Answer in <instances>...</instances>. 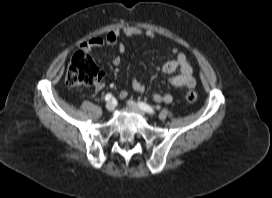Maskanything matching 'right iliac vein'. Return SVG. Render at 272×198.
Here are the masks:
<instances>
[{
	"instance_id": "1",
	"label": "right iliac vein",
	"mask_w": 272,
	"mask_h": 198,
	"mask_svg": "<svg viewBox=\"0 0 272 198\" xmlns=\"http://www.w3.org/2000/svg\"><path fill=\"white\" fill-rule=\"evenodd\" d=\"M115 106L112 102H108L106 104V109L109 111V112H112L114 110Z\"/></svg>"
}]
</instances>
